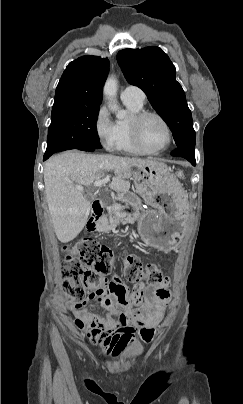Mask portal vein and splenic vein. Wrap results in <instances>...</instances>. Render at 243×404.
<instances>
[{
    "label": "portal vein and splenic vein",
    "instance_id": "1",
    "mask_svg": "<svg viewBox=\"0 0 243 404\" xmlns=\"http://www.w3.org/2000/svg\"><path fill=\"white\" fill-rule=\"evenodd\" d=\"M110 178L107 176V178H104V180H96L94 186H102V184H107L109 182ZM117 216H126L127 212L126 211H117L116 212Z\"/></svg>",
    "mask_w": 243,
    "mask_h": 404
}]
</instances>
